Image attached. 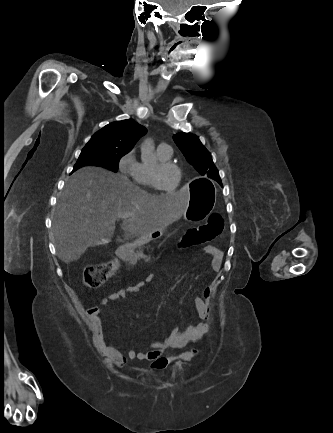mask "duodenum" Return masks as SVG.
<instances>
[{
  "label": "duodenum",
  "instance_id": "obj_1",
  "mask_svg": "<svg viewBox=\"0 0 333 433\" xmlns=\"http://www.w3.org/2000/svg\"><path fill=\"white\" fill-rule=\"evenodd\" d=\"M151 237H136V241H125L124 244H121L120 247L116 248L117 258H123L121 261L124 263H136L137 259L133 258L134 254L131 252L133 249H138L139 246H143L144 242H151ZM125 258V259H124ZM127 258V259H126Z\"/></svg>",
  "mask_w": 333,
  "mask_h": 433
}]
</instances>
